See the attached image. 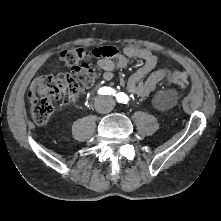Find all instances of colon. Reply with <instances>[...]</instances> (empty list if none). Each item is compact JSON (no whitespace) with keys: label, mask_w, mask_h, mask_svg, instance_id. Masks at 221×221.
Here are the masks:
<instances>
[{"label":"colon","mask_w":221,"mask_h":221,"mask_svg":"<svg viewBox=\"0 0 221 221\" xmlns=\"http://www.w3.org/2000/svg\"><path fill=\"white\" fill-rule=\"evenodd\" d=\"M113 51V47H76L62 52L61 59L69 70L65 73L40 76L31 84L28 96L34 122L37 125L46 124L53 113V102H73L82 92L92 87L96 75L87 61L110 56ZM165 78L168 83L179 86L188 83V75L184 71H168Z\"/></svg>","instance_id":"colon-1"}]
</instances>
